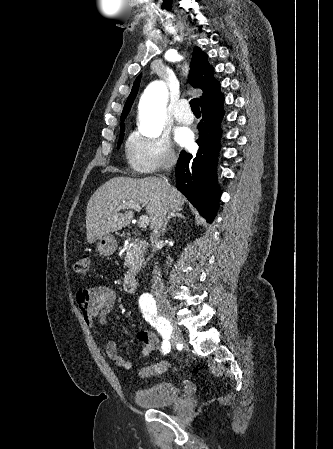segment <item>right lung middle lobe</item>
Returning <instances> with one entry per match:
<instances>
[{"label": "right lung middle lobe", "instance_id": "dd1d6c3e", "mask_svg": "<svg viewBox=\"0 0 333 449\" xmlns=\"http://www.w3.org/2000/svg\"><path fill=\"white\" fill-rule=\"evenodd\" d=\"M124 119H125V117H124V118H121V121H124ZM120 127H121V131H120V138H119V144H118V147L120 146V144H121L122 141H123V137H124V129H125L124 124H121Z\"/></svg>", "mask_w": 333, "mask_h": 449}]
</instances>
